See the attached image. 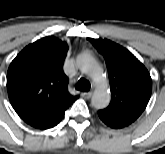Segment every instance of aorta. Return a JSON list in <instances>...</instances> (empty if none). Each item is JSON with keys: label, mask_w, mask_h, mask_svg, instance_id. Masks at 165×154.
Masks as SVG:
<instances>
[{"label": "aorta", "mask_w": 165, "mask_h": 154, "mask_svg": "<svg viewBox=\"0 0 165 154\" xmlns=\"http://www.w3.org/2000/svg\"><path fill=\"white\" fill-rule=\"evenodd\" d=\"M79 70L90 76L97 84L92 96V105L96 109L106 108L111 100V94L107 87L106 75L97 60L89 54H80L76 60Z\"/></svg>", "instance_id": "1"}]
</instances>
